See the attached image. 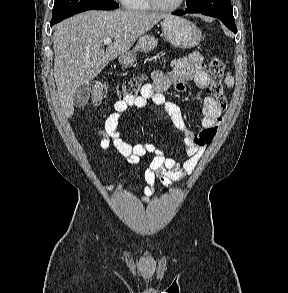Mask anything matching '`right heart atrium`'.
Wrapping results in <instances>:
<instances>
[{"label": "right heart atrium", "mask_w": 288, "mask_h": 293, "mask_svg": "<svg viewBox=\"0 0 288 293\" xmlns=\"http://www.w3.org/2000/svg\"><path fill=\"white\" fill-rule=\"evenodd\" d=\"M119 1L122 2V3L124 2V0H119Z\"/></svg>", "instance_id": "d8ad5b80"}]
</instances>
